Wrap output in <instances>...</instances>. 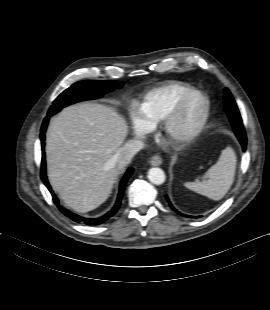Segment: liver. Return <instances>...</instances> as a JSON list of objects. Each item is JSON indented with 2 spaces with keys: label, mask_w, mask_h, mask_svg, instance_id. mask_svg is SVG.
I'll list each match as a JSON object with an SVG mask.
<instances>
[{
  "label": "liver",
  "mask_w": 270,
  "mask_h": 310,
  "mask_svg": "<svg viewBox=\"0 0 270 310\" xmlns=\"http://www.w3.org/2000/svg\"><path fill=\"white\" fill-rule=\"evenodd\" d=\"M128 134L115 108L85 102L54 116L46 134L48 178L67 207L86 213L109 197L119 168L112 157Z\"/></svg>",
  "instance_id": "liver-1"
}]
</instances>
